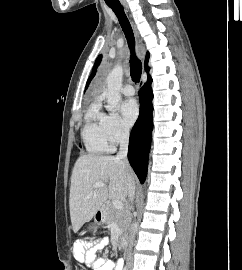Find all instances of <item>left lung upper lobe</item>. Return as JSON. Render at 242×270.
Returning a JSON list of instances; mask_svg holds the SVG:
<instances>
[{"mask_svg": "<svg viewBox=\"0 0 242 270\" xmlns=\"http://www.w3.org/2000/svg\"><path fill=\"white\" fill-rule=\"evenodd\" d=\"M101 55L97 58V60H96V63H95V67L100 63V61H101Z\"/></svg>", "mask_w": 242, "mask_h": 270, "instance_id": "5c2ea615", "label": "left lung upper lobe"}]
</instances>
